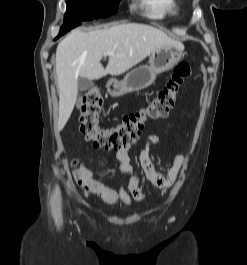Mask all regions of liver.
Instances as JSON below:
<instances>
[{
	"label": "liver",
	"instance_id": "6515ba94",
	"mask_svg": "<svg viewBox=\"0 0 247 265\" xmlns=\"http://www.w3.org/2000/svg\"><path fill=\"white\" fill-rule=\"evenodd\" d=\"M165 45L184 47L159 29L139 23L118 24L87 33L72 31L56 49L59 130L64 128L75 106L79 77L93 80L107 74H123ZM106 52L114 55H109L104 68L100 61Z\"/></svg>",
	"mask_w": 247,
	"mask_h": 265
}]
</instances>
